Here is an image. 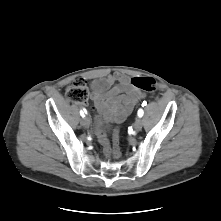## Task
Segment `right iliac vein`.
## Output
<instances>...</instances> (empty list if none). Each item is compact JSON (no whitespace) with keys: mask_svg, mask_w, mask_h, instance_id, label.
Listing matches in <instances>:
<instances>
[{"mask_svg":"<svg viewBox=\"0 0 221 221\" xmlns=\"http://www.w3.org/2000/svg\"><path fill=\"white\" fill-rule=\"evenodd\" d=\"M81 125L83 127H88L90 125V119L89 117L85 116L81 119Z\"/></svg>","mask_w":221,"mask_h":221,"instance_id":"obj_1","label":"right iliac vein"}]
</instances>
